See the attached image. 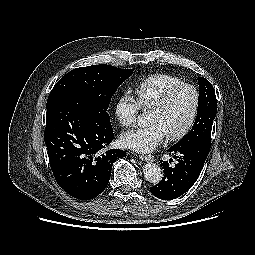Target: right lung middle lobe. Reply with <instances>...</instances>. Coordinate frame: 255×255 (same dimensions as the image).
Returning a JSON list of instances; mask_svg holds the SVG:
<instances>
[{
    "instance_id": "obj_1",
    "label": "right lung middle lobe",
    "mask_w": 255,
    "mask_h": 255,
    "mask_svg": "<svg viewBox=\"0 0 255 255\" xmlns=\"http://www.w3.org/2000/svg\"><path fill=\"white\" fill-rule=\"evenodd\" d=\"M132 74L133 69L104 64L73 69L54 85L46 108L59 99L67 98L88 109L100 125L111 126L107 113L111 98Z\"/></svg>"
}]
</instances>
